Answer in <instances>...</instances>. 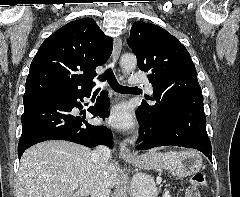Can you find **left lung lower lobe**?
<instances>
[{"instance_id": "left-lung-lower-lobe-1", "label": "left lung lower lobe", "mask_w": 240, "mask_h": 197, "mask_svg": "<svg viewBox=\"0 0 240 197\" xmlns=\"http://www.w3.org/2000/svg\"><path fill=\"white\" fill-rule=\"evenodd\" d=\"M136 117L144 126L139 132L142 143L136 147L137 150L158 146H182L197 149L212 161L203 96L183 92L165 104H141L136 111Z\"/></svg>"}]
</instances>
